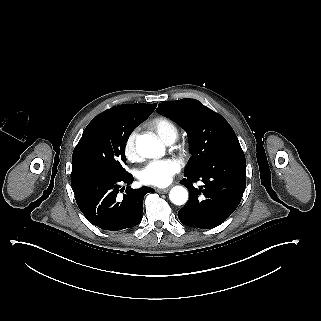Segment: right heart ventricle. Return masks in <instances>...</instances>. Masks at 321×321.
<instances>
[{"instance_id": "obj_1", "label": "right heart ventricle", "mask_w": 321, "mask_h": 321, "mask_svg": "<svg viewBox=\"0 0 321 321\" xmlns=\"http://www.w3.org/2000/svg\"><path fill=\"white\" fill-rule=\"evenodd\" d=\"M149 124L166 143L171 139L175 140L179 134L176 123L165 116H154L150 119Z\"/></svg>"}]
</instances>
